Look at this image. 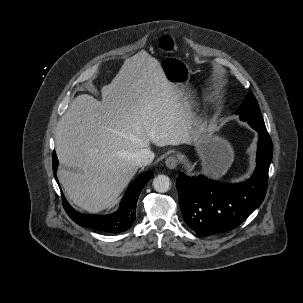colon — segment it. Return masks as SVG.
<instances>
[{"label": "colon", "mask_w": 303, "mask_h": 303, "mask_svg": "<svg viewBox=\"0 0 303 303\" xmlns=\"http://www.w3.org/2000/svg\"><path fill=\"white\" fill-rule=\"evenodd\" d=\"M159 47L165 52H174L177 50L175 41L170 35H164L160 38Z\"/></svg>", "instance_id": "obj_1"}]
</instances>
